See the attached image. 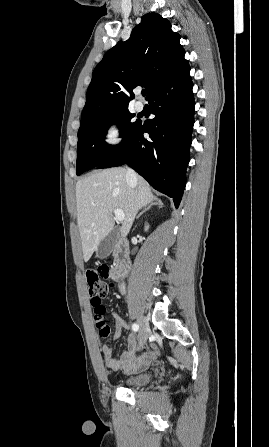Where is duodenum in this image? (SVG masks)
<instances>
[{
  "mask_svg": "<svg viewBox=\"0 0 269 447\" xmlns=\"http://www.w3.org/2000/svg\"><path fill=\"white\" fill-rule=\"evenodd\" d=\"M130 266L129 244L126 240L120 239L115 247V263L109 272L111 279L122 280L128 274Z\"/></svg>",
  "mask_w": 269,
  "mask_h": 447,
  "instance_id": "410a0bca",
  "label": "duodenum"
}]
</instances>
